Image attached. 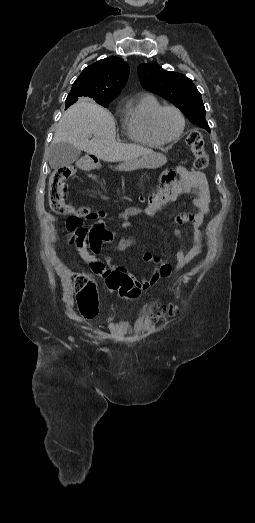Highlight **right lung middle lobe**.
I'll list each match as a JSON object with an SVG mask.
<instances>
[{
	"label": "right lung middle lobe",
	"mask_w": 255,
	"mask_h": 523,
	"mask_svg": "<svg viewBox=\"0 0 255 523\" xmlns=\"http://www.w3.org/2000/svg\"><path fill=\"white\" fill-rule=\"evenodd\" d=\"M110 102H111V101H104V102H97V103L100 104V105L103 106V107H109V103H110Z\"/></svg>",
	"instance_id": "1"
}]
</instances>
